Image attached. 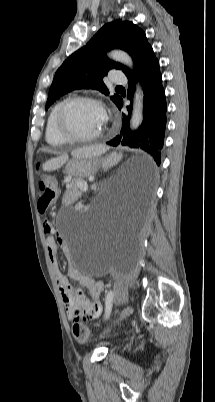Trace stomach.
I'll list each match as a JSON object with an SVG mask.
<instances>
[{
    "instance_id": "stomach-1",
    "label": "stomach",
    "mask_w": 215,
    "mask_h": 402,
    "mask_svg": "<svg viewBox=\"0 0 215 402\" xmlns=\"http://www.w3.org/2000/svg\"><path fill=\"white\" fill-rule=\"evenodd\" d=\"M98 167L99 163L97 161H92L87 156H82L70 160L65 167V172L77 180H82L93 175Z\"/></svg>"
}]
</instances>
